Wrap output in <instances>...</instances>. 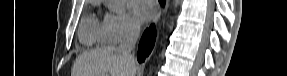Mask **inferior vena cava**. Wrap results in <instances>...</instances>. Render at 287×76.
I'll return each instance as SVG.
<instances>
[{"mask_svg":"<svg viewBox=\"0 0 287 76\" xmlns=\"http://www.w3.org/2000/svg\"><path fill=\"white\" fill-rule=\"evenodd\" d=\"M139 35L140 25L135 22H132L127 31L125 40L118 47V50L129 58L132 65H135L133 51L135 49V45L137 39L139 38Z\"/></svg>","mask_w":287,"mask_h":76,"instance_id":"obj_1","label":"inferior vena cava"}]
</instances>
